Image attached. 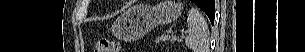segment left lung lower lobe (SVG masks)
Returning a JSON list of instances; mask_svg holds the SVG:
<instances>
[{"label": "left lung lower lobe", "mask_w": 305, "mask_h": 52, "mask_svg": "<svg viewBox=\"0 0 305 52\" xmlns=\"http://www.w3.org/2000/svg\"><path fill=\"white\" fill-rule=\"evenodd\" d=\"M194 2V0H192ZM201 9L207 14L211 23H214V10H215V1L214 0H206L204 7Z\"/></svg>", "instance_id": "obj_1"}]
</instances>
